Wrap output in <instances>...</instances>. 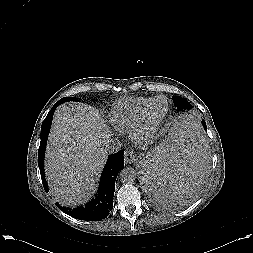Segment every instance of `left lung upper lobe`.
<instances>
[{
	"mask_svg": "<svg viewBox=\"0 0 253 253\" xmlns=\"http://www.w3.org/2000/svg\"><path fill=\"white\" fill-rule=\"evenodd\" d=\"M173 103L179 111L191 108V104L181 97L173 96Z\"/></svg>",
	"mask_w": 253,
	"mask_h": 253,
	"instance_id": "left-lung-upper-lobe-1",
	"label": "left lung upper lobe"
}]
</instances>
